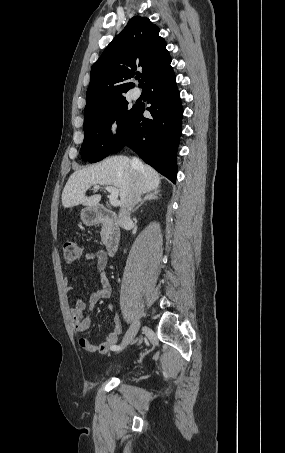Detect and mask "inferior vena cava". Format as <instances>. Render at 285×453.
<instances>
[{
	"label": "inferior vena cava",
	"instance_id": "602c4592",
	"mask_svg": "<svg viewBox=\"0 0 285 453\" xmlns=\"http://www.w3.org/2000/svg\"><path fill=\"white\" fill-rule=\"evenodd\" d=\"M131 164L136 170L142 167V162L136 157L132 158ZM140 196H141L140 179L135 174L126 203L119 212V223L121 226L130 222V213L133 207L140 201Z\"/></svg>",
	"mask_w": 285,
	"mask_h": 453
}]
</instances>
